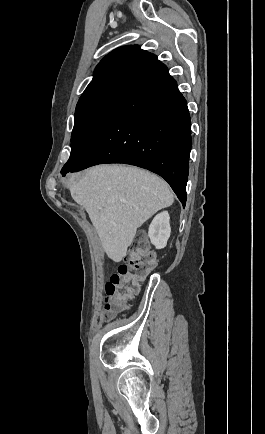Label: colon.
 Listing matches in <instances>:
<instances>
[{"instance_id":"1","label":"colon","mask_w":265,"mask_h":434,"mask_svg":"<svg viewBox=\"0 0 265 434\" xmlns=\"http://www.w3.org/2000/svg\"><path fill=\"white\" fill-rule=\"evenodd\" d=\"M156 262L155 253L146 245L145 235L137 234L128 247L124 262L107 281L110 300L104 306L109 317L122 311L125 300L137 294L141 282L153 271Z\"/></svg>"}]
</instances>
